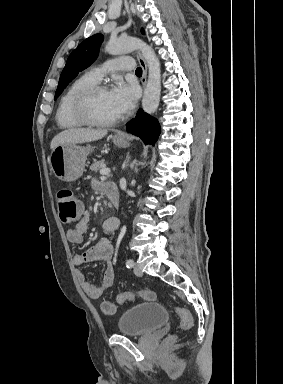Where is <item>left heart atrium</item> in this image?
<instances>
[{
    "label": "left heart atrium",
    "instance_id": "obj_1",
    "mask_svg": "<svg viewBox=\"0 0 283 384\" xmlns=\"http://www.w3.org/2000/svg\"><path fill=\"white\" fill-rule=\"evenodd\" d=\"M111 102L119 115L131 111L137 96V90L134 86H127L123 82H117L109 89Z\"/></svg>",
    "mask_w": 283,
    "mask_h": 384
}]
</instances>
